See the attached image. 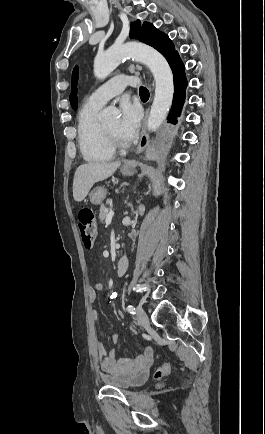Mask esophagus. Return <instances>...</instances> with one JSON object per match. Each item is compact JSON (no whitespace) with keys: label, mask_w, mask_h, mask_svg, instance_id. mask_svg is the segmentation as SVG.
Segmentation results:
<instances>
[{"label":"esophagus","mask_w":265,"mask_h":434,"mask_svg":"<svg viewBox=\"0 0 265 434\" xmlns=\"http://www.w3.org/2000/svg\"><path fill=\"white\" fill-rule=\"evenodd\" d=\"M148 115H149V109L147 108L145 111V117L143 119L142 132H141L139 145H138L136 152H135L136 154H140V153L144 152V150L146 149V147L149 144V134L147 131ZM126 166H130V164H124V167H126Z\"/></svg>","instance_id":"34e87169"}]
</instances>
